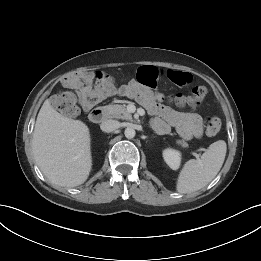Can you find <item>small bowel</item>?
I'll use <instances>...</instances> for the list:
<instances>
[{"instance_id":"obj_1","label":"small bowel","mask_w":261,"mask_h":261,"mask_svg":"<svg viewBox=\"0 0 261 261\" xmlns=\"http://www.w3.org/2000/svg\"><path fill=\"white\" fill-rule=\"evenodd\" d=\"M163 77L176 85H187L192 81L191 74L176 70L164 72L155 66H142L137 71L136 79L116 87L111 83L92 85L94 75L81 72L64 79L63 84L72 88L78 95L83 110H90L95 104L114 96L134 98L153 116L152 125L157 133L165 134L174 128L184 140L201 138L204 134L202 117L195 111H176L162 103V96L152 91Z\"/></svg>"}]
</instances>
